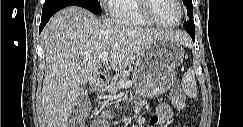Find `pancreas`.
I'll list each match as a JSON object with an SVG mask.
<instances>
[{"instance_id":"pancreas-1","label":"pancreas","mask_w":243,"mask_h":127,"mask_svg":"<svg viewBox=\"0 0 243 127\" xmlns=\"http://www.w3.org/2000/svg\"><path fill=\"white\" fill-rule=\"evenodd\" d=\"M130 75V71L123 70L119 74H116L107 88V92L110 96L116 95V93L121 90V88L125 87V83L128 81V76Z\"/></svg>"}]
</instances>
